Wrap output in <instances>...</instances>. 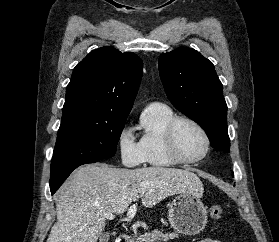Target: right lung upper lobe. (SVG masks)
Segmentation results:
<instances>
[{
  "instance_id": "right-lung-upper-lobe-1",
  "label": "right lung upper lobe",
  "mask_w": 279,
  "mask_h": 242,
  "mask_svg": "<svg viewBox=\"0 0 279 242\" xmlns=\"http://www.w3.org/2000/svg\"><path fill=\"white\" fill-rule=\"evenodd\" d=\"M143 71L133 52L102 47L90 52L73 70L63 114L82 112L107 118H127Z\"/></svg>"
}]
</instances>
